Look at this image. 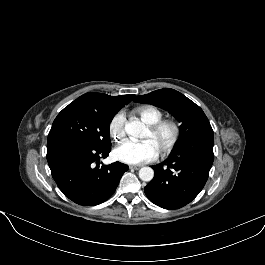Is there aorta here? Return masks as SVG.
Instances as JSON below:
<instances>
[{
	"instance_id": "aorta-1",
	"label": "aorta",
	"mask_w": 265,
	"mask_h": 265,
	"mask_svg": "<svg viewBox=\"0 0 265 265\" xmlns=\"http://www.w3.org/2000/svg\"><path fill=\"white\" fill-rule=\"evenodd\" d=\"M145 131V125L137 120L127 122L125 124V132L131 138H141ZM154 177V171L151 167H142L139 170V178L143 181L149 182Z\"/></svg>"
}]
</instances>
